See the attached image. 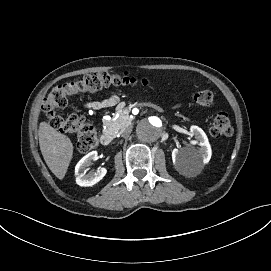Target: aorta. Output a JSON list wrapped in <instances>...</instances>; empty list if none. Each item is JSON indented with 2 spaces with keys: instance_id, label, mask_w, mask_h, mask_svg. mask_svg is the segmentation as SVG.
I'll list each match as a JSON object with an SVG mask.
<instances>
[{
  "instance_id": "762f6f07",
  "label": "aorta",
  "mask_w": 271,
  "mask_h": 271,
  "mask_svg": "<svg viewBox=\"0 0 271 271\" xmlns=\"http://www.w3.org/2000/svg\"><path fill=\"white\" fill-rule=\"evenodd\" d=\"M163 121L156 117L151 116L147 119H142L136 127V135L143 143H151L157 141L163 132Z\"/></svg>"
}]
</instances>
